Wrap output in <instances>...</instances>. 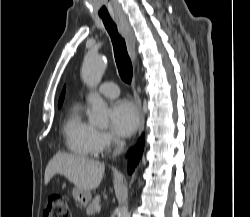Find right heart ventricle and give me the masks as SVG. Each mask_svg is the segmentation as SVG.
Returning a JSON list of instances; mask_svg holds the SVG:
<instances>
[{
    "label": "right heart ventricle",
    "instance_id": "right-heart-ventricle-1",
    "mask_svg": "<svg viewBox=\"0 0 250 217\" xmlns=\"http://www.w3.org/2000/svg\"><path fill=\"white\" fill-rule=\"evenodd\" d=\"M62 133L65 145L71 153L82 157L97 155L95 148L97 130L83 118L80 104L75 103L68 109Z\"/></svg>",
    "mask_w": 250,
    "mask_h": 217
}]
</instances>
